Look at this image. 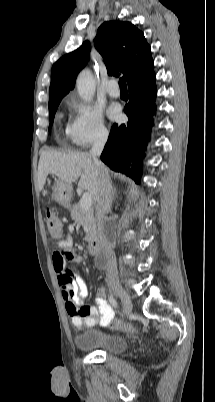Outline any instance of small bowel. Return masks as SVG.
I'll return each instance as SVG.
<instances>
[{"label": "small bowel", "instance_id": "1", "mask_svg": "<svg viewBox=\"0 0 215 402\" xmlns=\"http://www.w3.org/2000/svg\"><path fill=\"white\" fill-rule=\"evenodd\" d=\"M83 258L72 248L70 237H64L57 243V249L52 254V262L65 309L72 325L78 329L95 325L108 326L114 318V310L107 303L104 287L97 289V306L84 305L88 287L84 280L68 269V263H81Z\"/></svg>", "mask_w": 215, "mask_h": 402}]
</instances>
